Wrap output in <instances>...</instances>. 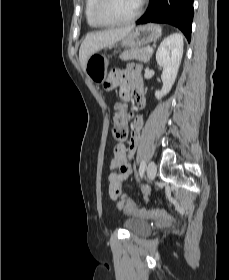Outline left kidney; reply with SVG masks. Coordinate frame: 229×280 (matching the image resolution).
<instances>
[{"label": "left kidney", "mask_w": 229, "mask_h": 280, "mask_svg": "<svg viewBox=\"0 0 229 280\" xmlns=\"http://www.w3.org/2000/svg\"><path fill=\"white\" fill-rule=\"evenodd\" d=\"M183 37L173 33L166 37L156 52V61L163 68L161 75L163 87L155 92V97L161 99L171 90L178 73L183 56Z\"/></svg>", "instance_id": "5707ae66"}]
</instances>
